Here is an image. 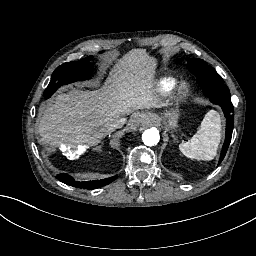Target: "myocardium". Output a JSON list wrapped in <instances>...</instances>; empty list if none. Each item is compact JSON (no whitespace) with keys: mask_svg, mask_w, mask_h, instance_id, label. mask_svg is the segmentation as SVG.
<instances>
[{"mask_svg":"<svg viewBox=\"0 0 256 256\" xmlns=\"http://www.w3.org/2000/svg\"><path fill=\"white\" fill-rule=\"evenodd\" d=\"M190 94V90L187 84H182L176 90V99L178 102L185 101Z\"/></svg>","mask_w":256,"mask_h":256,"instance_id":"obj_1","label":"myocardium"}]
</instances>
